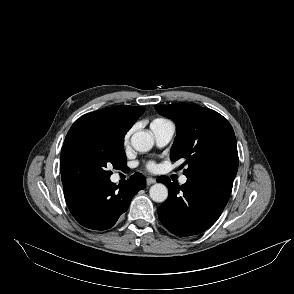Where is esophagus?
I'll return each mask as SVG.
<instances>
[{"mask_svg":"<svg viewBox=\"0 0 294 294\" xmlns=\"http://www.w3.org/2000/svg\"><path fill=\"white\" fill-rule=\"evenodd\" d=\"M155 182H156V180L154 178H152V177H148L146 179V183H147L148 186L154 184Z\"/></svg>","mask_w":294,"mask_h":294,"instance_id":"esophagus-1","label":"esophagus"}]
</instances>
